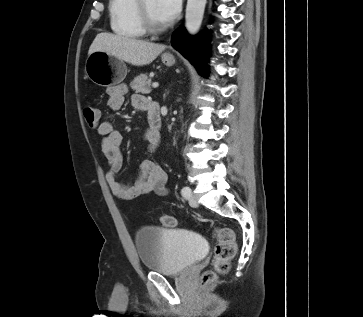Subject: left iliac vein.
Segmentation results:
<instances>
[{"instance_id":"left-iliac-vein-1","label":"left iliac vein","mask_w":363,"mask_h":317,"mask_svg":"<svg viewBox=\"0 0 363 317\" xmlns=\"http://www.w3.org/2000/svg\"><path fill=\"white\" fill-rule=\"evenodd\" d=\"M189 204H190L191 207H197L198 206V202H197V200L194 197L192 192H190Z\"/></svg>"}]
</instances>
